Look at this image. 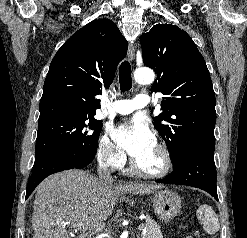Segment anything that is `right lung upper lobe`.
Returning <instances> with one entry per match:
<instances>
[{"label":"right lung upper lobe","mask_w":247,"mask_h":238,"mask_svg":"<svg viewBox=\"0 0 247 238\" xmlns=\"http://www.w3.org/2000/svg\"><path fill=\"white\" fill-rule=\"evenodd\" d=\"M128 43L111 20H94L75 32L54 56L40 101L39 123L95 115V96L108 87Z\"/></svg>","instance_id":"1"}]
</instances>
